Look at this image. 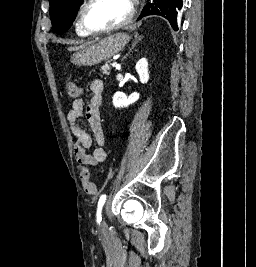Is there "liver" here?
<instances>
[{"mask_svg": "<svg viewBox=\"0 0 256 267\" xmlns=\"http://www.w3.org/2000/svg\"><path fill=\"white\" fill-rule=\"evenodd\" d=\"M91 42H87V44H83V46H73V48H68L69 52H79V50H82V48H85V46H89Z\"/></svg>", "mask_w": 256, "mask_h": 267, "instance_id": "6515ba94", "label": "liver"}]
</instances>
